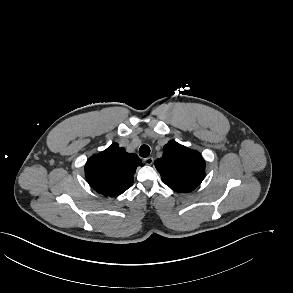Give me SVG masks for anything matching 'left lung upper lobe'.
Instances as JSON below:
<instances>
[{"mask_svg":"<svg viewBox=\"0 0 293 293\" xmlns=\"http://www.w3.org/2000/svg\"><path fill=\"white\" fill-rule=\"evenodd\" d=\"M154 164L162 181L176 192H191L205 176V161L201 154L174 140L164 146L163 156Z\"/></svg>","mask_w":293,"mask_h":293,"instance_id":"5c2ea615","label":"left lung upper lobe"}]
</instances>
